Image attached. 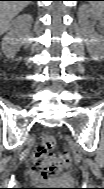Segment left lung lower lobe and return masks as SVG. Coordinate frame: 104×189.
Returning <instances> with one entry per match:
<instances>
[{
    "label": "left lung lower lobe",
    "instance_id": "left-lung-lower-lobe-1",
    "mask_svg": "<svg viewBox=\"0 0 104 189\" xmlns=\"http://www.w3.org/2000/svg\"><path fill=\"white\" fill-rule=\"evenodd\" d=\"M78 1H89V0H78Z\"/></svg>",
    "mask_w": 104,
    "mask_h": 189
}]
</instances>
